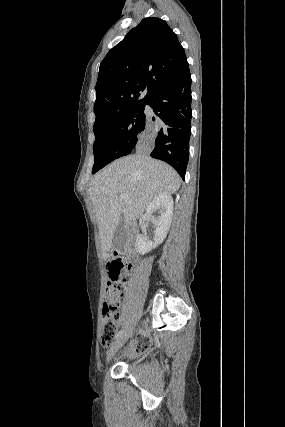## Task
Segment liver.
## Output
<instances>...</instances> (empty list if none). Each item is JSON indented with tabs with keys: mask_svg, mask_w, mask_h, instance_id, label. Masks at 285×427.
Segmentation results:
<instances>
[{
	"mask_svg": "<svg viewBox=\"0 0 285 427\" xmlns=\"http://www.w3.org/2000/svg\"><path fill=\"white\" fill-rule=\"evenodd\" d=\"M179 187L180 177L171 166L142 152L117 159L97 173L89 194L104 259L109 257L121 217L126 224L134 223L153 199L165 193L173 194ZM121 194L128 200H121Z\"/></svg>",
	"mask_w": 285,
	"mask_h": 427,
	"instance_id": "obj_1",
	"label": "liver"
}]
</instances>
